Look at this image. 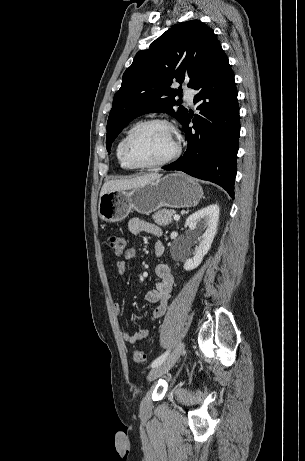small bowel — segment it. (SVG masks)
<instances>
[{
	"mask_svg": "<svg viewBox=\"0 0 305 461\" xmlns=\"http://www.w3.org/2000/svg\"><path fill=\"white\" fill-rule=\"evenodd\" d=\"M129 229L134 234L148 233L156 237L162 235V229L158 225L138 218L130 220ZM154 254L157 257H161L164 254V245L162 242L158 241L154 244ZM136 256L137 250L134 247H130L125 251L124 260L121 259L116 262V269L119 276H123L126 273V260L135 259ZM155 273L158 281L155 287L146 295L147 301L155 305L152 320H156L165 314L173 295L174 287V277L168 265L163 263L158 264L155 268ZM115 295H117V293H115ZM113 309L116 314L121 313V306L116 301L113 303ZM149 333L150 330L148 327H142L134 333L125 331L123 333V339L128 344H136L140 340L146 338Z\"/></svg>",
	"mask_w": 305,
	"mask_h": 461,
	"instance_id": "c3829d8e",
	"label": "small bowel"
}]
</instances>
